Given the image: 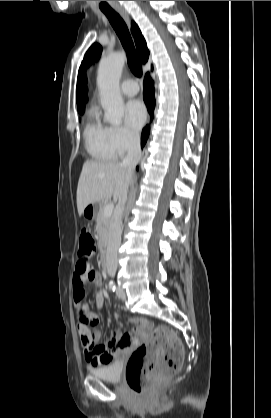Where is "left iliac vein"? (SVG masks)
Instances as JSON below:
<instances>
[{"mask_svg": "<svg viewBox=\"0 0 271 418\" xmlns=\"http://www.w3.org/2000/svg\"><path fill=\"white\" fill-rule=\"evenodd\" d=\"M116 294H117L118 298H120V299H125V297H126L125 291L120 286L117 287Z\"/></svg>", "mask_w": 271, "mask_h": 418, "instance_id": "obj_1", "label": "left iliac vein"}]
</instances>
